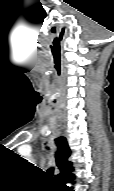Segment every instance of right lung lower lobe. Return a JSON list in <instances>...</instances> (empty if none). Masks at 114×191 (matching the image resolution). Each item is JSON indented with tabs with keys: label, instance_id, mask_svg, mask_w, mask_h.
Listing matches in <instances>:
<instances>
[{
	"label": "right lung lower lobe",
	"instance_id": "98d812e1",
	"mask_svg": "<svg viewBox=\"0 0 114 191\" xmlns=\"http://www.w3.org/2000/svg\"><path fill=\"white\" fill-rule=\"evenodd\" d=\"M74 179V175L71 173H68L66 176L57 179L60 185V190L61 191H74L71 187L66 186L65 184L68 182H73L72 180Z\"/></svg>",
	"mask_w": 114,
	"mask_h": 191
}]
</instances>
